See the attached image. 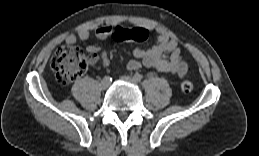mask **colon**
Returning <instances> with one entry per match:
<instances>
[{
    "label": "colon",
    "mask_w": 259,
    "mask_h": 156,
    "mask_svg": "<svg viewBox=\"0 0 259 156\" xmlns=\"http://www.w3.org/2000/svg\"><path fill=\"white\" fill-rule=\"evenodd\" d=\"M148 37V32L140 27L133 29H121L116 31L112 38L116 41L142 42ZM87 58L79 47L62 46L51 58V68L55 72L61 84H69L79 78L87 69ZM181 90L190 93L193 84L186 74L181 82Z\"/></svg>",
    "instance_id": "5ec220e1"
}]
</instances>
